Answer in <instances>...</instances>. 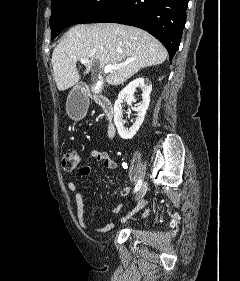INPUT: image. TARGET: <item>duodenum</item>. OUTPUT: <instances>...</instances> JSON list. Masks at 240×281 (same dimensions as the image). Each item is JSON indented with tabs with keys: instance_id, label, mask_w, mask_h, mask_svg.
<instances>
[{
	"instance_id": "1",
	"label": "duodenum",
	"mask_w": 240,
	"mask_h": 281,
	"mask_svg": "<svg viewBox=\"0 0 240 281\" xmlns=\"http://www.w3.org/2000/svg\"><path fill=\"white\" fill-rule=\"evenodd\" d=\"M95 102L102 108L104 111L106 117L109 119L108 128H107V134L109 137H113L115 134V127L112 123V117H113V106L110 100L104 96L101 95H94ZM87 93L86 91L83 92V98L80 100V104L85 105L87 103Z\"/></svg>"
}]
</instances>
